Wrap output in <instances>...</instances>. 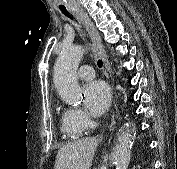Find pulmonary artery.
<instances>
[{"instance_id":"obj_1","label":"pulmonary artery","mask_w":177,"mask_h":169,"mask_svg":"<svg viewBox=\"0 0 177 169\" xmlns=\"http://www.w3.org/2000/svg\"><path fill=\"white\" fill-rule=\"evenodd\" d=\"M94 77V70L91 66L84 65L78 70V78L83 81H88Z\"/></svg>"}]
</instances>
